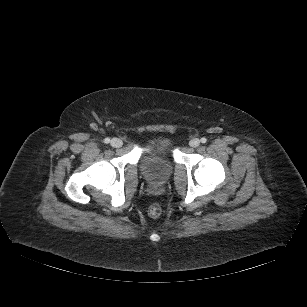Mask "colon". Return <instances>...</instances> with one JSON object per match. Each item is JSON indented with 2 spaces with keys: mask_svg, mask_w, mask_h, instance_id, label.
Instances as JSON below:
<instances>
[{
  "mask_svg": "<svg viewBox=\"0 0 307 307\" xmlns=\"http://www.w3.org/2000/svg\"><path fill=\"white\" fill-rule=\"evenodd\" d=\"M148 212H149V215L151 217L156 218V217L160 216V214H161V207L158 204H152L149 207Z\"/></svg>",
  "mask_w": 307,
  "mask_h": 307,
  "instance_id": "obj_1",
  "label": "colon"
}]
</instances>
